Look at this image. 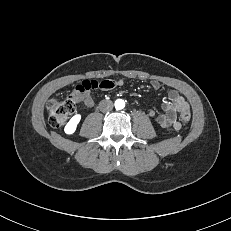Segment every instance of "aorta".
Segmentation results:
<instances>
[{"label":"aorta","mask_w":231,"mask_h":231,"mask_svg":"<svg viewBox=\"0 0 231 231\" xmlns=\"http://www.w3.org/2000/svg\"><path fill=\"white\" fill-rule=\"evenodd\" d=\"M124 107H125V102H124V100H122V99H117V100L115 101V108H116L117 110L123 109Z\"/></svg>","instance_id":"aorta-1"}]
</instances>
